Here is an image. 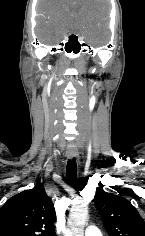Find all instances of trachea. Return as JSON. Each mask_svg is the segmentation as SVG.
<instances>
[{"label": "trachea", "mask_w": 145, "mask_h": 236, "mask_svg": "<svg viewBox=\"0 0 145 236\" xmlns=\"http://www.w3.org/2000/svg\"><path fill=\"white\" fill-rule=\"evenodd\" d=\"M66 174L69 182L75 184L77 181V164L75 158L68 160L66 166Z\"/></svg>", "instance_id": "3493384b"}]
</instances>
